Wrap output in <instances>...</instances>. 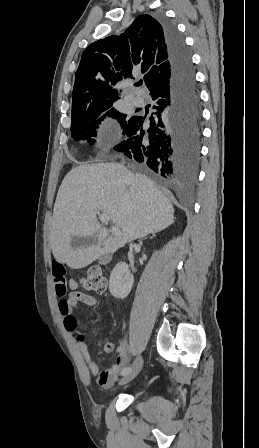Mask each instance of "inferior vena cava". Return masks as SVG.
<instances>
[{"mask_svg":"<svg viewBox=\"0 0 259 448\" xmlns=\"http://www.w3.org/2000/svg\"><path fill=\"white\" fill-rule=\"evenodd\" d=\"M125 178H126V182H131V180H132V174H131V172H126V176H125Z\"/></svg>","mask_w":259,"mask_h":448,"instance_id":"obj_1","label":"inferior vena cava"}]
</instances>
